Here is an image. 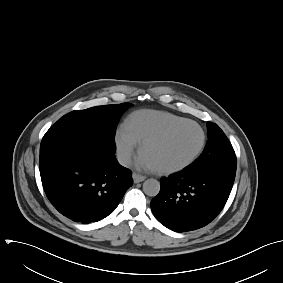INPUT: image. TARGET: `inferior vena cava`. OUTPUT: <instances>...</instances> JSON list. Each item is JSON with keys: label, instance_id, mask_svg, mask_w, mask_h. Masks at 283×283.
<instances>
[{"label": "inferior vena cava", "instance_id": "inferior-vena-cava-1", "mask_svg": "<svg viewBox=\"0 0 283 283\" xmlns=\"http://www.w3.org/2000/svg\"><path fill=\"white\" fill-rule=\"evenodd\" d=\"M117 159L118 162L125 167L129 166L131 163V156L129 153H118Z\"/></svg>", "mask_w": 283, "mask_h": 283}]
</instances>
